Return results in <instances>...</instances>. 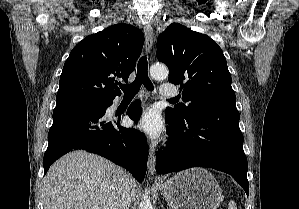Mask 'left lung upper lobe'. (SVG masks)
Wrapping results in <instances>:
<instances>
[{
  "label": "left lung upper lobe",
  "instance_id": "5c2ea615",
  "mask_svg": "<svg viewBox=\"0 0 299 209\" xmlns=\"http://www.w3.org/2000/svg\"><path fill=\"white\" fill-rule=\"evenodd\" d=\"M157 59L168 66L169 82L180 84L188 102L166 108L167 117L185 120L205 103L235 104L225 56L209 36L172 23L158 37Z\"/></svg>",
  "mask_w": 299,
  "mask_h": 209
}]
</instances>
